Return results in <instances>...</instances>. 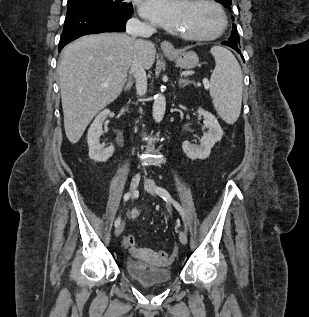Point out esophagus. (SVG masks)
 Instances as JSON below:
<instances>
[{
  "label": "esophagus",
  "mask_w": 309,
  "mask_h": 317,
  "mask_svg": "<svg viewBox=\"0 0 309 317\" xmlns=\"http://www.w3.org/2000/svg\"><path fill=\"white\" fill-rule=\"evenodd\" d=\"M161 49L165 53H171L174 51V47H173L172 43L169 41H166V40L161 42Z\"/></svg>",
  "instance_id": "obj_1"
}]
</instances>
